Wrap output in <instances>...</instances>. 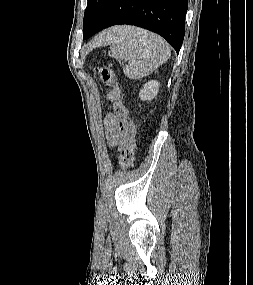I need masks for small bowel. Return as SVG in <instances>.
I'll use <instances>...</instances> for the list:
<instances>
[{"label": "small bowel", "instance_id": "small-bowel-1", "mask_svg": "<svg viewBox=\"0 0 253 285\" xmlns=\"http://www.w3.org/2000/svg\"><path fill=\"white\" fill-rule=\"evenodd\" d=\"M118 94L115 91H110L106 98L109 100H116ZM105 124L108 135V142L111 146H121L125 141L127 133V123L120 120L114 114H107L105 117Z\"/></svg>", "mask_w": 253, "mask_h": 285}]
</instances>
